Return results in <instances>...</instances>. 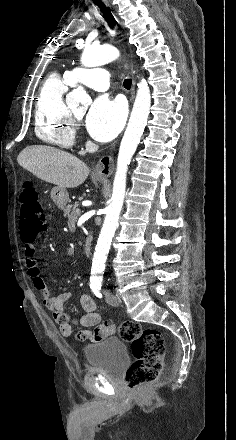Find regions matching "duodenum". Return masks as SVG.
<instances>
[{
	"label": "duodenum",
	"mask_w": 236,
	"mask_h": 440,
	"mask_svg": "<svg viewBox=\"0 0 236 440\" xmlns=\"http://www.w3.org/2000/svg\"><path fill=\"white\" fill-rule=\"evenodd\" d=\"M92 241H93L92 235L88 234L85 238V241H84V253L86 256H89L91 253Z\"/></svg>",
	"instance_id": "duodenum-1"
}]
</instances>
